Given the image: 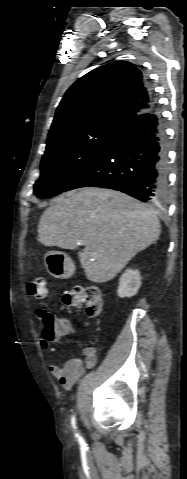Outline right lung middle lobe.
<instances>
[{"label":"right lung middle lobe","mask_w":187,"mask_h":479,"mask_svg":"<svg viewBox=\"0 0 187 479\" xmlns=\"http://www.w3.org/2000/svg\"><path fill=\"white\" fill-rule=\"evenodd\" d=\"M120 131L110 125H93L70 130L47 141L34 193L39 198H49L63 192L105 151Z\"/></svg>","instance_id":"dd1d6c3e"}]
</instances>
